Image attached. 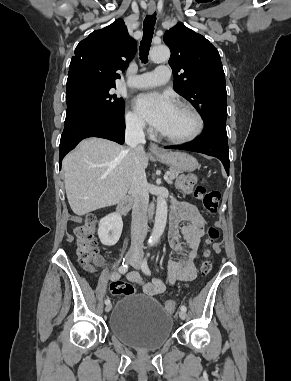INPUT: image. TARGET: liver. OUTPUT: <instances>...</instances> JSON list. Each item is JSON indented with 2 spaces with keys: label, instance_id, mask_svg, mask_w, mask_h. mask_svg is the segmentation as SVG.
I'll return each instance as SVG.
<instances>
[{
  "label": "liver",
  "instance_id": "liver-1",
  "mask_svg": "<svg viewBox=\"0 0 291 381\" xmlns=\"http://www.w3.org/2000/svg\"><path fill=\"white\" fill-rule=\"evenodd\" d=\"M144 169L148 155L141 158ZM65 190L72 211L83 216L122 201L131 185L130 148L100 138L85 139L63 159Z\"/></svg>",
  "mask_w": 291,
  "mask_h": 381
}]
</instances>
